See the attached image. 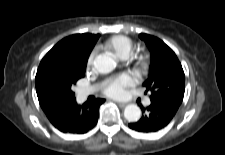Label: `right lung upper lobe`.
<instances>
[{"mask_svg":"<svg viewBox=\"0 0 225 155\" xmlns=\"http://www.w3.org/2000/svg\"><path fill=\"white\" fill-rule=\"evenodd\" d=\"M99 34H74L58 42L42 59L35 78L36 92L44 112L68 101L53 85L51 73L75 65H86Z\"/></svg>","mask_w":225,"mask_h":155,"instance_id":"right-lung-upper-lobe-1","label":"right lung upper lobe"}]
</instances>
